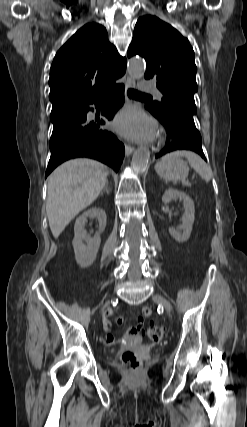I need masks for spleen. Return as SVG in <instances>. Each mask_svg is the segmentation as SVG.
<instances>
[{"instance_id":"3e777b00","label":"spleen","mask_w":247,"mask_h":427,"mask_svg":"<svg viewBox=\"0 0 247 427\" xmlns=\"http://www.w3.org/2000/svg\"><path fill=\"white\" fill-rule=\"evenodd\" d=\"M180 156H184L187 158L190 166L196 170L197 173L206 181H210L212 177V170L210 166H208L197 154L191 151H175L169 154H166L162 157L160 163L168 162L172 159L178 158ZM159 163L156 165L158 167ZM155 167V168H156Z\"/></svg>"}]
</instances>
